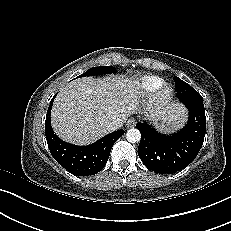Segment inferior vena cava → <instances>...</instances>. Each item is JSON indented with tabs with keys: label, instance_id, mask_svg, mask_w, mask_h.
<instances>
[{
	"label": "inferior vena cava",
	"instance_id": "1",
	"mask_svg": "<svg viewBox=\"0 0 231 231\" xmlns=\"http://www.w3.org/2000/svg\"><path fill=\"white\" fill-rule=\"evenodd\" d=\"M126 118H114L107 122V129L109 131L117 130L123 126Z\"/></svg>",
	"mask_w": 231,
	"mask_h": 231
}]
</instances>
